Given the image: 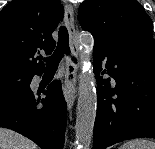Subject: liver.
Returning <instances> with one entry per match:
<instances>
[{"mask_svg": "<svg viewBox=\"0 0 155 149\" xmlns=\"http://www.w3.org/2000/svg\"><path fill=\"white\" fill-rule=\"evenodd\" d=\"M0 149H37V145L12 130L0 128Z\"/></svg>", "mask_w": 155, "mask_h": 149, "instance_id": "6515ba94", "label": "liver"}]
</instances>
